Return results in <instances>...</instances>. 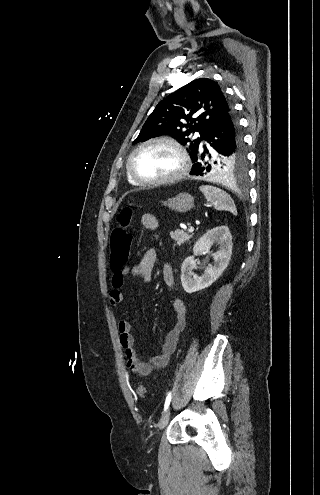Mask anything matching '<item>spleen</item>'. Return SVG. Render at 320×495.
I'll return each mask as SVG.
<instances>
[{
    "instance_id": "1",
    "label": "spleen",
    "mask_w": 320,
    "mask_h": 495,
    "mask_svg": "<svg viewBox=\"0 0 320 495\" xmlns=\"http://www.w3.org/2000/svg\"><path fill=\"white\" fill-rule=\"evenodd\" d=\"M200 190L203 192L207 201H209L218 211H229L233 215H237V209L233 199L225 191L205 185L201 186Z\"/></svg>"
}]
</instances>
